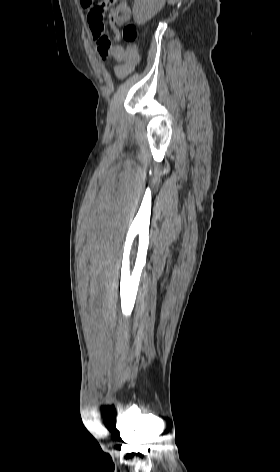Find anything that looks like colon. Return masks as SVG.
Masks as SVG:
<instances>
[{"instance_id":"colon-1","label":"colon","mask_w":280,"mask_h":472,"mask_svg":"<svg viewBox=\"0 0 280 472\" xmlns=\"http://www.w3.org/2000/svg\"><path fill=\"white\" fill-rule=\"evenodd\" d=\"M119 0H102L101 3L92 6L93 0H83V4L90 7L88 14V22L95 25H102L104 18V11L107 7L117 3ZM137 28L133 23H126L122 30V36L127 43V50L129 52L135 51L134 42L137 38Z\"/></svg>"}]
</instances>
